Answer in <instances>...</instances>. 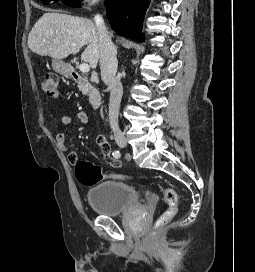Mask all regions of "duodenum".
<instances>
[{
    "label": "duodenum",
    "mask_w": 255,
    "mask_h": 272,
    "mask_svg": "<svg viewBox=\"0 0 255 272\" xmlns=\"http://www.w3.org/2000/svg\"><path fill=\"white\" fill-rule=\"evenodd\" d=\"M70 76L75 82L79 84H87V80L82 75H80L75 69H72L70 71ZM87 97L92 108L97 109L102 105V96L97 90L91 89L88 92Z\"/></svg>",
    "instance_id": "410a0bca"
}]
</instances>
